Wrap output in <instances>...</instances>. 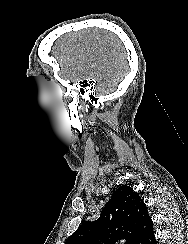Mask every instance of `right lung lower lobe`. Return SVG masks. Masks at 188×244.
Returning a JSON list of instances; mask_svg holds the SVG:
<instances>
[{
    "label": "right lung lower lobe",
    "instance_id": "98d812e1",
    "mask_svg": "<svg viewBox=\"0 0 188 244\" xmlns=\"http://www.w3.org/2000/svg\"><path fill=\"white\" fill-rule=\"evenodd\" d=\"M140 244H156L154 232H153V226L149 229L146 236L142 240Z\"/></svg>",
    "mask_w": 188,
    "mask_h": 244
}]
</instances>
